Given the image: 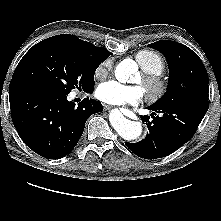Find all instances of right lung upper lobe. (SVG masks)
<instances>
[{
	"mask_svg": "<svg viewBox=\"0 0 221 221\" xmlns=\"http://www.w3.org/2000/svg\"><path fill=\"white\" fill-rule=\"evenodd\" d=\"M51 38L64 41L72 45L73 47L78 49L80 52L84 53L91 59L100 63L103 62L106 58L109 57V55L112 54L106 48L96 47L92 43L80 40L74 35L62 34V35L53 36Z\"/></svg>",
	"mask_w": 221,
	"mask_h": 221,
	"instance_id": "obj_1",
	"label": "right lung upper lobe"
}]
</instances>
